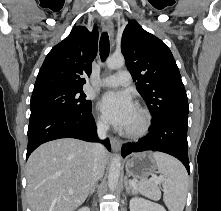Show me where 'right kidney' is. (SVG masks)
<instances>
[{
	"label": "right kidney",
	"instance_id": "1",
	"mask_svg": "<svg viewBox=\"0 0 221 211\" xmlns=\"http://www.w3.org/2000/svg\"><path fill=\"white\" fill-rule=\"evenodd\" d=\"M78 211H90V209L88 207H83V208H80Z\"/></svg>",
	"mask_w": 221,
	"mask_h": 211
}]
</instances>
